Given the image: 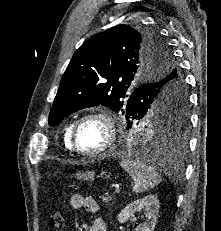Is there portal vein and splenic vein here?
<instances>
[{
	"instance_id": "portal-vein-and-splenic-vein-1",
	"label": "portal vein and splenic vein",
	"mask_w": 221,
	"mask_h": 231,
	"mask_svg": "<svg viewBox=\"0 0 221 231\" xmlns=\"http://www.w3.org/2000/svg\"><path fill=\"white\" fill-rule=\"evenodd\" d=\"M119 192H120V189H119V188H116V189H115V193L118 194Z\"/></svg>"
}]
</instances>
